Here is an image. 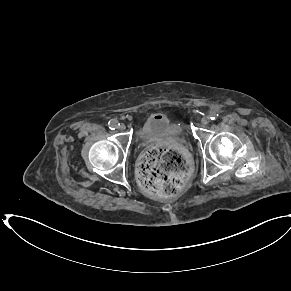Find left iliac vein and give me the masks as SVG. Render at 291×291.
<instances>
[{
	"label": "left iliac vein",
	"instance_id": "left-iliac-vein-1",
	"mask_svg": "<svg viewBox=\"0 0 291 291\" xmlns=\"http://www.w3.org/2000/svg\"><path fill=\"white\" fill-rule=\"evenodd\" d=\"M210 122V118L208 116H205L201 119L202 125H207Z\"/></svg>",
	"mask_w": 291,
	"mask_h": 291
}]
</instances>
